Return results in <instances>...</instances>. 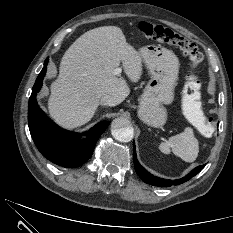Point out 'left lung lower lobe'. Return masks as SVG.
Segmentation results:
<instances>
[{
	"instance_id": "left-lung-lower-lobe-1",
	"label": "left lung lower lobe",
	"mask_w": 233,
	"mask_h": 233,
	"mask_svg": "<svg viewBox=\"0 0 233 233\" xmlns=\"http://www.w3.org/2000/svg\"><path fill=\"white\" fill-rule=\"evenodd\" d=\"M133 155H134V166L137 174L140 176V178L147 184H151L154 186H171V185H179L182 184L188 180H190L193 176L197 175L203 168L204 165L196 167L192 172H190L185 177L178 179V180H164L161 178H158L154 175H151L146 169H144L138 162L136 158V150H135V144L133 142Z\"/></svg>"
}]
</instances>
